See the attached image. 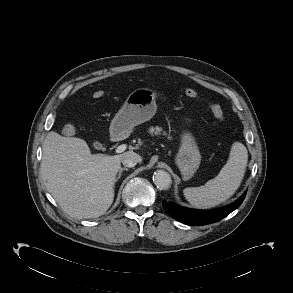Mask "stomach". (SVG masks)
Instances as JSON below:
<instances>
[{
  "label": "stomach",
  "instance_id": "stomach-1",
  "mask_svg": "<svg viewBox=\"0 0 293 293\" xmlns=\"http://www.w3.org/2000/svg\"><path fill=\"white\" fill-rule=\"evenodd\" d=\"M157 94V91L150 88H138L131 92L111 122V137L114 139L123 138L135 126L150 120L157 110L155 102ZM180 139V147L175 157V163L183 178L187 180L198 169L201 155L191 132L183 131Z\"/></svg>",
  "mask_w": 293,
  "mask_h": 293
}]
</instances>
